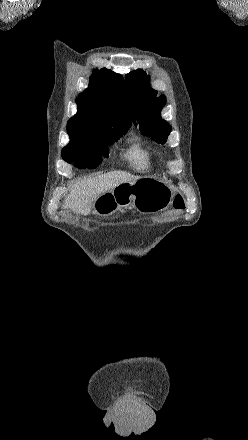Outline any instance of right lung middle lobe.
Instances as JSON below:
<instances>
[{
  "label": "right lung middle lobe",
  "mask_w": 248,
  "mask_h": 440,
  "mask_svg": "<svg viewBox=\"0 0 248 440\" xmlns=\"http://www.w3.org/2000/svg\"><path fill=\"white\" fill-rule=\"evenodd\" d=\"M128 130L87 137L74 147L63 149L62 158L68 163H75L78 168H95L102 157H108V146L117 142Z\"/></svg>",
  "instance_id": "obj_1"
}]
</instances>
